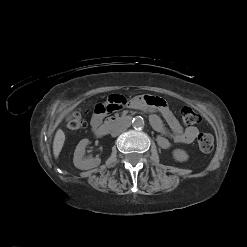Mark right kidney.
I'll return each mask as SVG.
<instances>
[{"mask_svg": "<svg viewBox=\"0 0 247 247\" xmlns=\"http://www.w3.org/2000/svg\"><path fill=\"white\" fill-rule=\"evenodd\" d=\"M89 143L88 139H82L74 152L73 163L74 166L81 170H89L99 166L101 163L100 158H84L85 148Z\"/></svg>", "mask_w": 247, "mask_h": 247, "instance_id": "ca27d5eb", "label": "right kidney"}]
</instances>
